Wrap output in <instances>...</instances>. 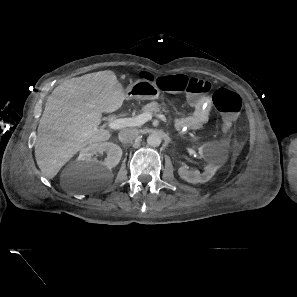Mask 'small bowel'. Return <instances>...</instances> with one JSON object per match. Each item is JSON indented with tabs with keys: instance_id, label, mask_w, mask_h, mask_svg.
Instances as JSON below:
<instances>
[{
	"instance_id": "obj_1",
	"label": "small bowel",
	"mask_w": 297,
	"mask_h": 297,
	"mask_svg": "<svg viewBox=\"0 0 297 297\" xmlns=\"http://www.w3.org/2000/svg\"><path fill=\"white\" fill-rule=\"evenodd\" d=\"M190 104L194 107V113L191 116L180 118L176 121V127L179 130H199L202 129L209 120L211 111V100L204 97L199 100H190Z\"/></svg>"
}]
</instances>
